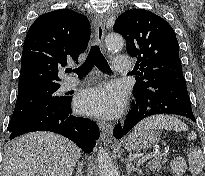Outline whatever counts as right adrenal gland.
<instances>
[{
    "mask_svg": "<svg viewBox=\"0 0 205 176\" xmlns=\"http://www.w3.org/2000/svg\"><path fill=\"white\" fill-rule=\"evenodd\" d=\"M75 176H83V167L81 162L77 163V171L75 173Z\"/></svg>",
    "mask_w": 205,
    "mask_h": 176,
    "instance_id": "right-adrenal-gland-1",
    "label": "right adrenal gland"
}]
</instances>
